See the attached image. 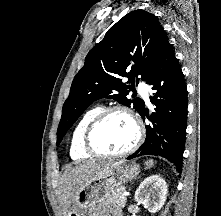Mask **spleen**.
<instances>
[{"label":"spleen","instance_id":"spleen-1","mask_svg":"<svg viewBox=\"0 0 221 216\" xmlns=\"http://www.w3.org/2000/svg\"><path fill=\"white\" fill-rule=\"evenodd\" d=\"M154 162L153 160H149L145 162L146 168L149 169L153 166Z\"/></svg>","mask_w":221,"mask_h":216}]
</instances>
